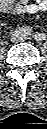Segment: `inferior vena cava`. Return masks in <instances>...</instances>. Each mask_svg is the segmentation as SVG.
<instances>
[{
	"label": "inferior vena cava",
	"instance_id": "1",
	"mask_svg": "<svg viewBox=\"0 0 47 129\" xmlns=\"http://www.w3.org/2000/svg\"><path fill=\"white\" fill-rule=\"evenodd\" d=\"M22 39V37H19V40H21Z\"/></svg>",
	"mask_w": 47,
	"mask_h": 129
}]
</instances>
